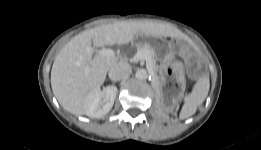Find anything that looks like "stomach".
Wrapping results in <instances>:
<instances>
[{
    "label": "stomach",
    "mask_w": 261,
    "mask_h": 150,
    "mask_svg": "<svg viewBox=\"0 0 261 150\" xmlns=\"http://www.w3.org/2000/svg\"><path fill=\"white\" fill-rule=\"evenodd\" d=\"M153 53L155 51L153 50ZM161 74L164 77H169L170 79L183 82L184 79V72L181 66L180 62L174 61V62H167L164 61L161 63L160 66Z\"/></svg>",
    "instance_id": "obj_1"
}]
</instances>
